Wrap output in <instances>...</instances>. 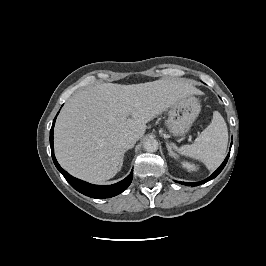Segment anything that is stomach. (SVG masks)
I'll list each match as a JSON object with an SVG mask.
<instances>
[{
	"label": "stomach",
	"instance_id": "0dacf381",
	"mask_svg": "<svg viewBox=\"0 0 266 266\" xmlns=\"http://www.w3.org/2000/svg\"><path fill=\"white\" fill-rule=\"evenodd\" d=\"M201 111L197 98L187 96L170 107L166 126L175 136L186 134Z\"/></svg>",
	"mask_w": 266,
	"mask_h": 266
}]
</instances>
